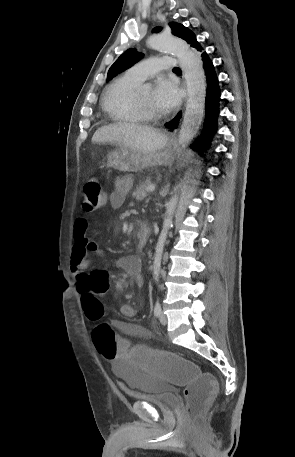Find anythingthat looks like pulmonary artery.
<instances>
[{
  "label": "pulmonary artery",
  "mask_w": 295,
  "mask_h": 457,
  "mask_svg": "<svg viewBox=\"0 0 295 457\" xmlns=\"http://www.w3.org/2000/svg\"><path fill=\"white\" fill-rule=\"evenodd\" d=\"M177 65V60L171 56H155L143 60L131 67L126 75L135 81L142 82L160 70H170Z\"/></svg>",
  "instance_id": "pulmonary-artery-1"
}]
</instances>
